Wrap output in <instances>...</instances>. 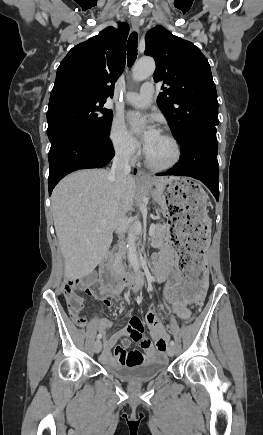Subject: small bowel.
<instances>
[{
	"mask_svg": "<svg viewBox=\"0 0 263 435\" xmlns=\"http://www.w3.org/2000/svg\"><path fill=\"white\" fill-rule=\"evenodd\" d=\"M155 242L160 243L159 239H156ZM173 255L174 251L171 247L162 246L160 251L152 256L151 261L155 269L154 281L161 282L169 279L162 277L161 272L164 269L162 265L165 261H172ZM103 302L107 306L111 305V300L108 298H105ZM171 308L181 320L186 321L191 316L187 305H172ZM84 325L85 319L81 326ZM145 325L150 329L155 343L144 335ZM95 327L103 339L100 360L105 364L134 365L155 358H164L169 348L167 339L169 340L170 335L165 331L164 324L152 310L146 313L144 322L139 317L132 316L128 325L114 334H109L111 322L105 318L98 320ZM131 339L139 344L144 353L135 349L128 350L131 346ZM118 342L120 345L116 346ZM113 348L114 353H112Z\"/></svg>",
	"mask_w": 263,
	"mask_h": 435,
	"instance_id": "small-bowel-1",
	"label": "small bowel"
}]
</instances>
